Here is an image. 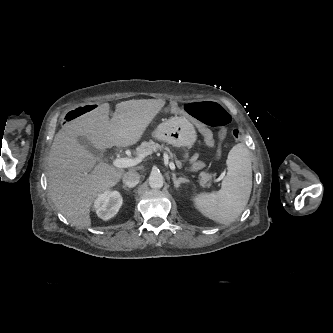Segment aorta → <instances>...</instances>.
Listing matches in <instances>:
<instances>
[{
    "label": "aorta",
    "instance_id": "1",
    "mask_svg": "<svg viewBox=\"0 0 333 333\" xmlns=\"http://www.w3.org/2000/svg\"><path fill=\"white\" fill-rule=\"evenodd\" d=\"M164 178L160 172H152L149 176V185L151 188L159 189L163 186Z\"/></svg>",
    "mask_w": 333,
    "mask_h": 333
}]
</instances>
